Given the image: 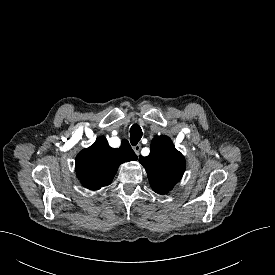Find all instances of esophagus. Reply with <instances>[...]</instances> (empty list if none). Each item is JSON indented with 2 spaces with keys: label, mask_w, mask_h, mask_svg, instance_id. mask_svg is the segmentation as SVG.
I'll list each match as a JSON object with an SVG mask.
<instances>
[{
  "label": "esophagus",
  "mask_w": 275,
  "mask_h": 275,
  "mask_svg": "<svg viewBox=\"0 0 275 275\" xmlns=\"http://www.w3.org/2000/svg\"><path fill=\"white\" fill-rule=\"evenodd\" d=\"M140 149H141V145L140 144H137V145H135L133 147V150L136 153V155H139Z\"/></svg>",
  "instance_id": "esophagus-1"
}]
</instances>
